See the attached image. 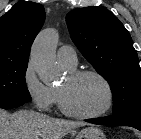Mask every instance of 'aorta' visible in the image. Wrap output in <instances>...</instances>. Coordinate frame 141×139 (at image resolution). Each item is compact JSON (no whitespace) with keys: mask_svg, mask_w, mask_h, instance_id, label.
Instances as JSON below:
<instances>
[{"mask_svg":"<svg viewBox=\"0 0 141 139\" xmlns=\"http://www.w3.org/2000/svg\"><path fill=\"white\" fill-rule=\"evenodd\" d=\"M59 34L54 28L42 30L36 37L30 53V61L40 79L48 84L57 78L55 48Z\"/></svg>","mask_w":141,"mask_h":139,"instance_id":"762f6f07","label":"aorta"}]
</instances>
